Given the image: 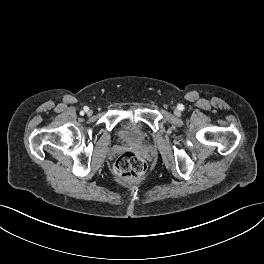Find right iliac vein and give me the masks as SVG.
<instances>
[{"mask_svg":"<svg viewBox=\"0 0 264 264\" xmlns=\"http://www.w3.org/2000/svg\"><path fill=\"white\" fill-rule=\"evenodd\" d=\"M88 115H91L92 114V111H87Z\"/></svg>","mask_w":264,"mask_h":264,"instance_id":"1","label":"right iliac vein"}]
</instances>
